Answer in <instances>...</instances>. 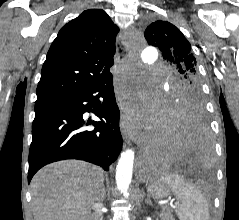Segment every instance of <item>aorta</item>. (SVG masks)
<instances>
[{
	"instance_id": "1",
	"label": "aorta",
	"mask_w": 239,
	"mask_h": 220,
	"mask_svg": "<svg viewBox=\"0 0 239 220\" xmlns=\"http://www.w3.org/2000/svg\"><path fill=\"white\" fill-rule=\"evenodd\" d=\"M143 65H154L157 56V48H143L141 51ZM140 65H138L139 67ZM135 153L132 149L124 151L116 168V184L119 191L128 196V189L132 181L133 163Z\"/></svg>"
}]
</instances>
